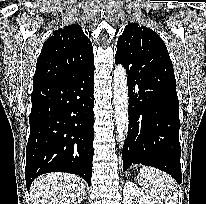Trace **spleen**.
<instances>
[{"label": "spleen", "mask_w": 206, "mask_h": 204, "mask_svg": "<svg viewBox=\"0 0 206 204\" xmlns=\"http://www.w3.org/2000/svg\"><path fill=\"white\" fill-rule=\"evenodd\" d=\"M138 178L142 189L155 204H177L176 183L167 173L144 166Z\"/></svg>", "instance_id": "3e777b00"}]
</instances>
